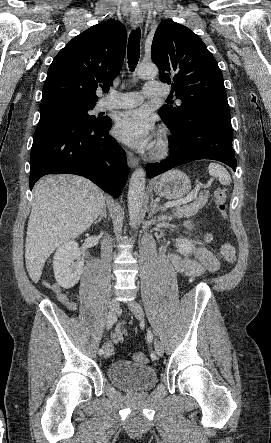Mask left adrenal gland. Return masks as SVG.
<instances>
[{
    "instance_id": "a2214340",
    "label": "left adrenal gland",
    "mask_w": 271,
    "mask_h": 443,
    "mask_svg": "<svg viewBox=\"0 0 271 443\" xmlns=\"http://www.w3.org/2000/svg\"><path fill=\"white\" fill-rule=\"evenodd\" d=\"M165 208H162V206H159L153 198H151V204H150V214H157V212H164Z\"/></svg>"
}]
</instances>
